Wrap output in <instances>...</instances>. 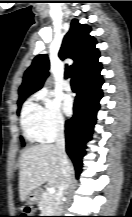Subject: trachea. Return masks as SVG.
I'll return each instance as SVG.
<instances>
[{"label": "trachea", "mask_w": 132, "mask_h": 217, "mask_svg": "<svg viewBox=\"0 0 132 217\" xmlns=\"http://www.w3.org/2000/svg\"><path fill=\"white\" fill-rule=\"evenodd\" d=\"M71 86H72L73 89L77 88V81H76V79H72L71 80Z\"/></svg>", "instance_id": "3493384b"}]
</instances>
